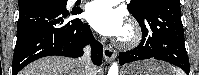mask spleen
Instances as JSON below:
<instances>
[{
  "label": "spleen",
  "instance_id": "1",
  "mask_svg": "<svg viewBox=\"0 0 199 75\" xmlns=\"http://www.w3.org/2000/svg\"><path fill=\"white\" fill-rule=\"evenodd\" d=\"M176 75H182L180 72H177Z\"/></svg>",
  "mask_w": 199,
  "mask_h": 75
}]
</instances>
